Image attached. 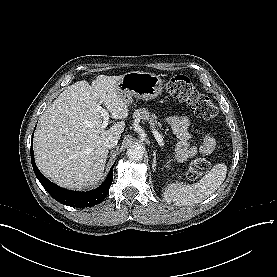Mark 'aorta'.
<instances>
[{
  "instance_id": "1",
  "label": "aorta",
  "mask_w": 277,
  "mask_h": 277,
  "mask_svg": "<svg viewBox=\"0 0 277 277\" xmlns=\"http://www.w3.org/2000/svg\"><path fill=\"white\" fill-rule=\"evenodd\" d=\"M127 157L132 161H140L144 155V148L139 144H134L127 149Z\"/></svg>"
}]
</instances>
